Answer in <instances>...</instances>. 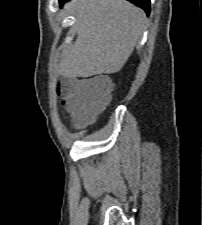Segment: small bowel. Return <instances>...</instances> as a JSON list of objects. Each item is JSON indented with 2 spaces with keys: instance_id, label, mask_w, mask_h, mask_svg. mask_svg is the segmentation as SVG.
<instances>
[{
  "instance_id": "1",
  "label": "small bowel",
  "mask_w": 202,
  "mask_h": 225,
  "mask_svg": "<svg viewBox=\"0 0 202 225\" xmlns=\"http://www.w3.org/2000/svg\"><path fill=\"white\" fill-rule=\"evenodd\" d=\"M97 78L101 79L103 83L114 86V80L109 76L100 75L97 76ZM66 105L71 114L72 123L76 126L82 124L91 112L87 107L86 98L78 93H75L74 96L67 101Z\"/></svg>"
}]
</instances>
